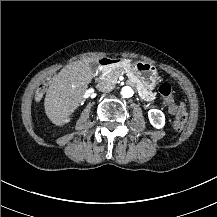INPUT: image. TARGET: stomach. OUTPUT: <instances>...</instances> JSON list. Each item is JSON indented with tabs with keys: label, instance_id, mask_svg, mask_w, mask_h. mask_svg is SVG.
I'll return each mask as SVG.
<instances>
[{
	"label": "stomach",
	"instance_id": "0dacf381",
	"mask_svg": "<svg viewBox=\"0 0 217 217\" xmlns=\"http://www.w3.org/2000/svg\"><path fill=\"white\" fill-rule=\"evenodd\" d=\"M133 71L143 82L145 89L149 91L155 89L158 83V74L154 65L148 62L136 61L133 63Z\"/></svg>",
	"mask_w": 217,
	"mask_h": 217
}]
</instances>
